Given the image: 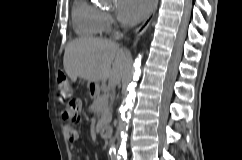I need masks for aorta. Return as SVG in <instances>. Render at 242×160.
<instances>
[{
    "mask_svg": "<svg viewBox=\"0 0 242 160\" xmlns=\"http://www.w3.org/2000/svg\"><path fill=\"white\" fill-rule=\"evenodd\" d=\"M140 58L135 63V70L132 72L130 78L128 79V88L131 89L133 81L138 77ZM130 108H131V98L128 95L121 105V119L118 125V131L121 136V144L117 152V160H125L126 154V140H127V131L128 124L130 119ZM111 149L116 151L115 145H111Z\"/></svg>",
    "mask_w": 242,
    "mask_h": 160,
    "instance_id": "1",
    "label": "aorta"
}]
</instances>
